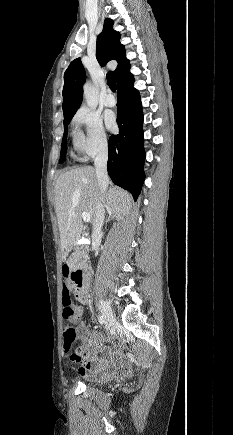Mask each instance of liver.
Instances as JSON below:
<instances>
[{
    "mask_svg": "<svg viewBox=\"0 0 233 435\" xmlns=\"http://www.w3.org/2000/svg\"><path fill=\"white\" fill-rule=\"evenodd\" d=\"M100 190L96 171L91 166L78 167L62 173L55 184V211L62 252L82 234V213L90 214L94 225ZM103 206L109 215L123 218L132 208L131 195L116 187L104 194Z\"/></svg>",
    "mask_w": 233,
    "mask_h": 435,
    "instance_id": "1",
    "label": "liver"
}]
</instances>
